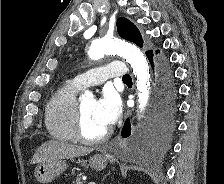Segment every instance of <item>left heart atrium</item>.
<instances>
[{
  "mask_svg": "<svg viewBox=\"0 0 224 184\" xmlns=\"http://www.w3.org/2000/svg\"><path fill=\"white\" fill-rule=\"evenodd\" d=\"M98 120L106 127L112 126L120 115V103L116 96L111 93H104L95 102L94 108Z\"/></svg>",
  "mask_w": 224,
  "mask_h": 184,
  "instance_id": "left-heart-atrium-1",
  "label": "left heart atrium"
}]
</instances>
